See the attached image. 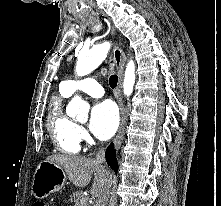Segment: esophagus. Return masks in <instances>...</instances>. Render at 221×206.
<instances>
[{
    "label": "esophagus",
    "instance_id": "obj_1",
    "mask_svg": "<svg viewBox=\"0 0 221 206\" xmlns=\"http://www.w3.org/2000/svg\"><path fill=\"white\" fill-rule=\"evenodd\" d=\"M110 29H111V34L115 35L114 29L113 28H110ZM113 54H114L115 64L117 67L118 77H119L118 86H117V99H118L120 114H121L120 126L118 129V133L114 139L115 148L116 150H118L122 144L124 134H125V127L127 123V115H126L125 105H124L123 96H122V81H123V72H124V65H125L126 57H125L124 51L117 44L114 45Z\"/></svg>",
    "mask_w": 221,
    "mask_h": 206
}]
</instances>
